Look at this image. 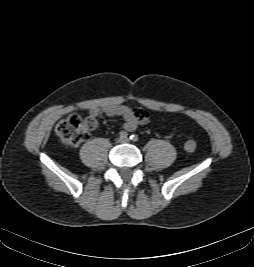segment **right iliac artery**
<instances>
[{
    "label": "right iliac artery",
    "mask_w": 254,
    "mask_h": 267,
    "mask_svg": "<svg viewBox=\"0 0 254 267\" xmlns=\"http://www.w3.org/2000/svg\"><path fill=\"white\" fill-rule=\"evenodd\" d=\"M119 136H120V138H126L127 136H128V134H127V132H125V131H121L120 133H119Z\"/></svg>",
    "instance_id": "82829eb1"
}]
</instances>
